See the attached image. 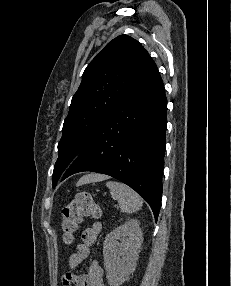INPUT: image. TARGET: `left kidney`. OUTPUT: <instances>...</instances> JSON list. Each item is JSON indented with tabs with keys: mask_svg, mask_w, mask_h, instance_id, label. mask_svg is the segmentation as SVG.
<instances>
[{
	"mask_svg": "<svg viewBox=\"0 0 231 286\" xmlns=\"http://www.w3.org/2000/svg\"><path fill=\"white\" fill-rule=\"evenodd\" d=\"M139 225V220L131 219L105 237L104 267L110 286H120L129 279L130 274L136 269L143 241Z\"/></svg>",
	"mask_w": 231,
	"mask_h": 286,
	"instance_id": "obj_1",
	"label": "left kidney"
}]
</instances>
